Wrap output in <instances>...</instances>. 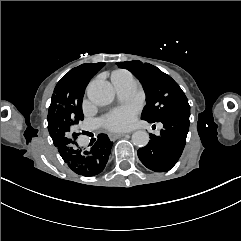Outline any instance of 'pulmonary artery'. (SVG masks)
<instances>
[{
  "mask_svg": "<svg viewBox=\"0 0 241 241\" xmlns=\"http://www.w3.org/2000/svg\"><path fill=\"white\" fill-rule=\"evenodd\" d=\"M112 82L115 86L117 99L119 102H127L133 93V78L127 73L123 72L121 75L112 76ZM105 114L108 117H115L118 114V107L115 104H109L105 107Z\"/></svg>",
  "mask_w": 241,
  "mask_h": 241,
  "instance_id": "e3ab8cb5",
  "label": "pulmonary artery"
}]
</instances>
